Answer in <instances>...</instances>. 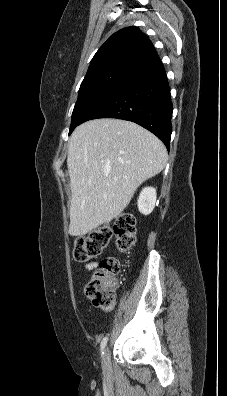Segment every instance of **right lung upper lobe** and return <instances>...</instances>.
<instances>
[{"mask_svg": "<svg viewBox=\"0 0 227 396\" xmlns=\"http://www.w3.org/2000/svg\"><path fill=\"white\" fill-rule=\"evenodd\" d=\"M156 55L151 41L137 27L123 28L99 48L86 75L110 68L133 71Z\"/></svg>", "mask_w": 227, "mask_h": 396, "instance_id": "1", "label": "right lung upper lobe"}]
</instances>
